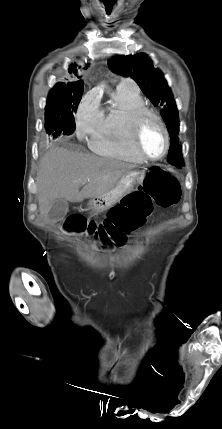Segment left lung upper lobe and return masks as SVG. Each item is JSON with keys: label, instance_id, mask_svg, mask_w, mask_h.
I'll return each instance as SVG.
<instances>
[{"label": "left lung upper lobe", "instance_id": "left-lung-upper-lobe-1", "mask_svg": "<svg viewBox=\"0 0 222 429\" xmlns=\"http://www.w3.org/2000/svg\"><path fill=\"white\" fill-rule=\"evenodd\" d=\"M108 65L114 73L134 79L154 106L163 108L161 116L171 138L167 161L176 167L184 166L178 137V110L162 72L155 68L152 60L143 53L133 56H114Z\"/></svg>", "mask_w": 222, "mask_h": 429}]
</instances>
